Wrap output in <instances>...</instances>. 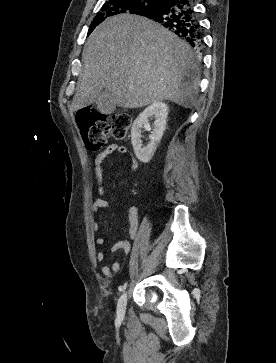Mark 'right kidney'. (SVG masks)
Instances as JSON below:
<instances>
[{
    "mask_svg": "<svg viewBox=\"0 0 276 363\" xmlns=\"http://www.w3.org/2000/svg\"><path fill=\"white\" fill-rule=\"evenodd\" d=\"M153 116V132L150 135V142L143 147L141 141V128L148 124V118ZM168 107L163 102H156L148 106L134 121L131 129V143L136 157L143 163H148L160 143L166 128Z\"/></svg>",
    "mask_w": 276,
    "mask_h": 363,
    "instance_id": "right-kidney-1",
    "label": "right kidney"
}]
</instances>
